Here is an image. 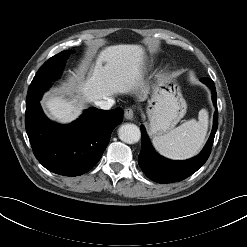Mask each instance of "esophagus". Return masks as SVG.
Instances as JSON below:
<instances>
[{
  "mask_svg": "<svg viewBox=\"0 0 247 247\" xmlns=\"http://www.w3.org/2000/svg\"><path fill=\"white\" fill-rule=\"evenodd\" d=\"M124 117L126 120H132L134 117V110L132 108H126L124 112Z\"/></svg>",
  "mask_w": 247,
  "mask_h": 247,
  "instance_id": "34e87169",
  "label": "esophagus"
}]
</instances>
